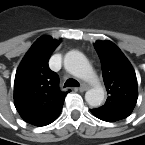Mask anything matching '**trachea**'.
<instances>
[{
    "instance_id": "obj_1",
    "label": "trachea",
    "mask_w": 145,
    "mask_h": 145,
    "mask_svg": "<svg viewBox=\"0 0 145 145\" xmlns=\"http://www.w3.org/2000/svg\"><path fill=\"white\" fill-rule=\"evenodd\" d=\"M78 86L79 83L75 79H68L64 84V87H78Z\"/></svg>"
}]
</instances>
